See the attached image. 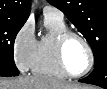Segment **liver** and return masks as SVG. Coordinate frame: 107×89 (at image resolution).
<instances>
[{
  "label": "liver",
  "instance_id": "liver-1",
  "mask_svg": "<svg viewBox=\"0 0 107 89\" xmlns=\"http://www.w3.org/2000/svg\"><path fill=\"white\" fill-rule=\"evenodd\" d=\"M71 88H89L70 84L46 76H19L15 79H1L0 89H71Z\"/></svg>",
  "mask_w": 107,
  "mask_h": 89
}]
</instances>
